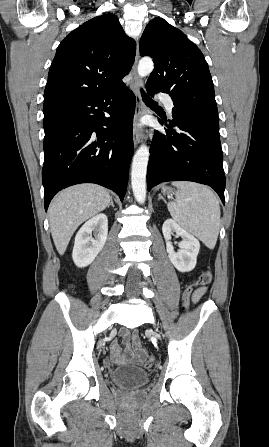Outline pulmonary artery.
Wrapping results in <instances>:
<instances>
[{
    "mask_svg": "<svg viewBox=\"0 0 269 447\" xmlns=\"http://www.w3.org/2000/svg\"><path fill=\"white\" fill-rule=\"evenodd\" d=\"M157 96H158V98L163 100L165 107H166L169 115L171 116L172 109L174 107L172 99L169 96H166V93L163 90L158 91Z\"/></svg>",
    "mask_w": 269,
    "mask_h": 447,
    "instance_id": "pulmonary-artery-1",
    "label": "pulmonary artery"
}]
</instances>
